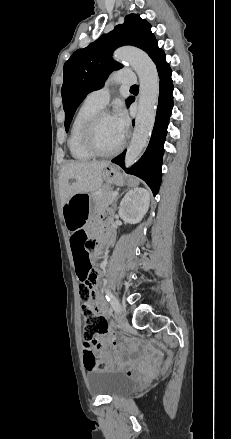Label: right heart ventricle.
Listing matches in <instances>:
<instances>
[{"label":"right heart ventricle","instance_id":"e07e8e85","mask_svg":"<svg viewBox=\"0 0 231 439\" xmlns=\"http://www.w3.org/2000/svg\"><path fill=\"white\" fill-rule=\"evenodd\" d=\"M100 109V107L85 100L73 117L67 146L71 156L76 160L87 161L93 158L82 142V131L88 119Z\"/></svg>","mask_w":231,"mask_h":439}]
</instances>
